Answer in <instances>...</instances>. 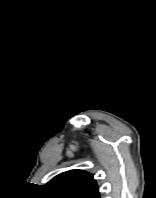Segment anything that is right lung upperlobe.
<instances>
[{
	"mask_svg": "<svg viewBox=\"0 0 156 198\" xmlns=\"http://www.w3.org/2000/svg\"><path fill=\"white\" fill-rule=\"evenodd\" d=\"M48 198H100L93 176L82 170H70L43 186Z\"/></svg>",
	"mask_w": 156,
	"mask_h": 198,
	"instance_id": "right-lung-upper-lobe-1",
	"label": "right lung upper lobe"
}]
</instances>
